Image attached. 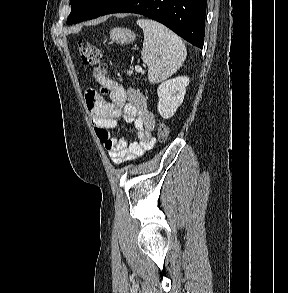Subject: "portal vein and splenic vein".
I'll list each match as a JSON object with an SVG mask.
<instances>
[{
  "instance_id": "1",
  "label": "portal vein and splenic vein",
  "mask_w": 288,
  "mask_h": 293,
  "mask_svg": "<svg viewBox=\"0 0 288 293\" xmlns=\"http://www.w3.org/2000/svg\"><path fill=\"white\" fill-rule=\"evenodd\" d=\"M135 70H136L137 72H141V71H142V68L139 67V66H136V67H135Z\"/></svg>"
}]
</instances>
